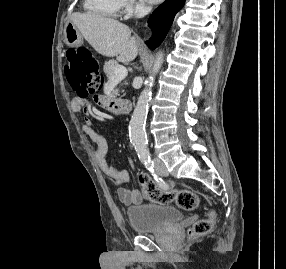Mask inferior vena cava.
Listing matches in <instances>:
<instances>
[{
    "instance_id": "inferior-vena-cava-1",
    "label": "inferior vena cava",
    "mask_w": 286,
    "mask_h": 269,
    "mask_svg": "<svg viewBox=\"0 0 286 269\" xmlns=\"http://www.w3.org/2000/svg\"><path fill=\"white\" fill-rule=\"evenodd\" d=\"M150 11V7H142L138 10L137 18L145 16Z\"/></svg>"
}]
</instances>
